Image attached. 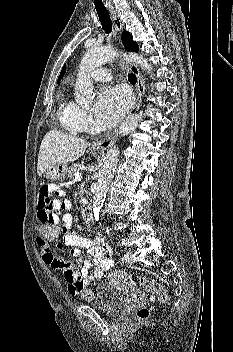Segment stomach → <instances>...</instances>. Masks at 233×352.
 Here are the masks:
<instances>
[{"mask_svg":"<svg viewBox=\"0 0 233 352\" xmlns=\"http://www.w3.org/2000/svg\"><path fill=\"white\" fill-rule=\"evenodd\" d=\"M66 172H67L66 163H59V164L51 165L49 168H47L44 171V176L46 178L62 182L65 179Z\"/></svg>","mask_w":233,"mask_h":352,"instance_id":"1","label":"stomach"}]
</instances>
